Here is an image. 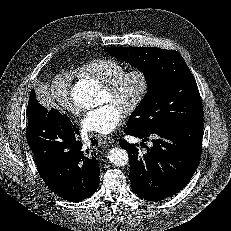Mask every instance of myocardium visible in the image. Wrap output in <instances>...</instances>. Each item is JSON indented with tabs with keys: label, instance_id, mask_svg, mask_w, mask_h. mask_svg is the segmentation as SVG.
<instances>
[{
	"label": "myocardium",
	"instance_id": "1",
	"mask_svg": "<svg viewBox=\"0 0 231 231\" xmlns=\"http://www.w3.org/2000/svg\"><path fill=\"white\" fill-rule=\"evenodd\" d=\"M130 77L138 79L139 87L133 98L123 107L122 110L125 114L134 112L147 96L150 88V79L148 74L141 68H131L124 70L108 83L103 84V89H105L109 94L114 95L119 91L123 83Z\"/></svg>",
	"mask_w": 231,
	"mask_h": 231
}]
</instances>
